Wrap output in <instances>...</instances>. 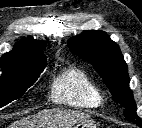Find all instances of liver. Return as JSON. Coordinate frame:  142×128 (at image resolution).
Instances as JSON below:
<instances>
[{
	"mask_svg": "<svg viewBox=\"0 0 142 128\" xmlns=\"http://www.w3.org/2000/svg\"><path fill=\"white\" fill-rule=\"evenodd\" d=\"M89 115L75 110L49 109L13 122L9 128H72L89 120Z\"/></svg>",
	"mask_w": 142,
	"mask_h": 128,
	"instance_id": "obj_1",
	"label": "liver"
}]
</instances>
